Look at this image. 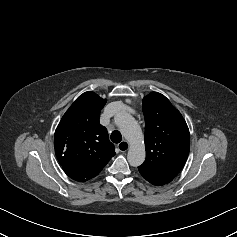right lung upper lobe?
Returning <instances> with one entry per match:
<instances>
[{"mask_svg":"<svg viewBox=\"0 0 237 237\" xmlns=\"http://www.w3.org/2000/svg\"><path fill=\"white\" fill-rule=\"evenodd\" d=\"M106 99L85 92L69 107L56 128L55 154L65 173L84 182L98 175L115 155L106 128L99 124Z\"/></svg>","mask_w":237,"mask_h":237,"instance_id":"cb5924a9","label":"right lung upper lobe"}]
</instances>
